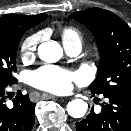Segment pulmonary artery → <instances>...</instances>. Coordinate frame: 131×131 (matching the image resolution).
<instances>
[{
  "mask_svg": "<svg viewBox=\"0 0 131 131\" xmlns=\"http://www.w3.org/2000/svg\"><path fill=\"white\" fill-rule=\"evenodd\" d=\"M63 44L67 53L72 56L79 54L82 48V43L80 41H72V42L63 43Z\"/></svg>",
  "mask_w": 131,
  "mask_h": 131,
  "instance_id": "pulmonary-artery-1",
  "label": "pulmonary artery"
}]
</instances>
